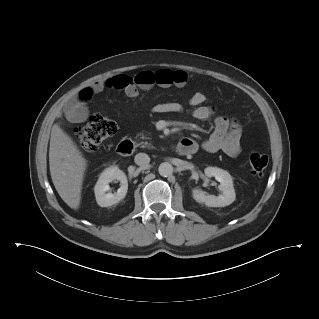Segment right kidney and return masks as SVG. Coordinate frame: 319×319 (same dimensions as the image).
<instances>
[{
	"instance_id": "obj_1",
	"label": "right kidney",
	"mask_w": 319,
	"mask_h": 319,
	"mask_svg": "<svg viewBox=\"0 0 319 319\" xmlns=\"http://www.w3.org/2000/svg\"><path fill=\"white\" fill-rule=\"evenodd\" d=\"M118 180L120 188L116 193H106L109 190V183ZM128 190V181L125 173L117 166L106 168L99 176V179L94 187L96 201L101 207H108L122 200Z\"/></svg>"
}]
</instances>
